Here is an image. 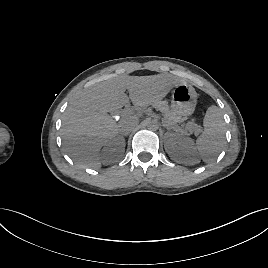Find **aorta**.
I'll return each instance as SVG.
<instances>
[{
  "mask_svg": "<svg viewBox=\"0 0 268 268\" xmlns=\"http://www.w3.org/2000/svg\"><path fill=\"white\" fill-rule=\"evenodd\" d=\"M146 126L149 130L156 131L159 129L160 124L156 119H148L146 121Z\"/></svg>",
  "mask_w": 268,
  "mask_h": 268,
  "instance_id": "1",
  "label": "aorta"
}]
</instances>
